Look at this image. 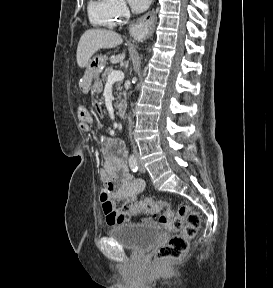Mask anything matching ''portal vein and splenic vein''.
Wrapping results in <instances>:
<instances>
[{
    "instance_id": "portal-vein-and-splenic-vein-1",
    "label": "portal vein and splenic vein",
    "mask_w": 273,
    "mask_h": 288,
    "mask_svg": "<svg viewBox=\"0 0 273 288\" xmlns=\"http://www.w3.org/2000/svg\"><path fill=\"white\" fill-rule=\"evenodd\" d=\"M124 79V73L122 71H113L108 76L107 83H115Z\"/></svg>"
}]
</instances>
